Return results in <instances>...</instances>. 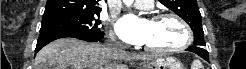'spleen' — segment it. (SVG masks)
<instances>
[{"label": "spleen", "mask_w": 246, "mask_h": 69, "mask_svg": "<svg viewBox=\"0 0 246 69\" xmlns=\"http://www.w3.org/2000/svg\"><path fill=\"white\" fill-rule=\"evenodd\" d=\"M191 69H204V67L199 60L195 59L191 64Z\"/></svg>", "instance_id": "3e777b00"}]
</instances>
